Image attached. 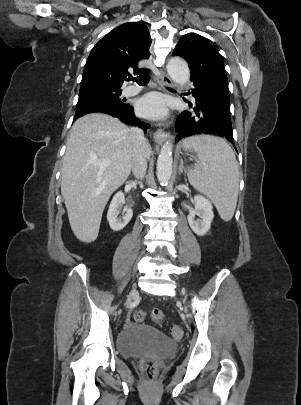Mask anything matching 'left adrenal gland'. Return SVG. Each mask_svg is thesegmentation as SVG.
<instances>
[{"mask_svg": "<svg viewBox=\"0 0 301 405\" xmlns=\"http://www.w3.org/2000/svg\"><path fill=\"white\" fill-rule=\"evenodd\" d=\"M186 173V169L184 168V165H183V160L182 159H180V165H179V175L181 174V173Z\"/></svg>", "mask_w": 301, "mask_h": 405, "instance_id": "a2214340", "label": "left adrenal gland"}]
</instances>
